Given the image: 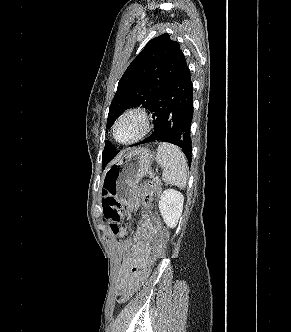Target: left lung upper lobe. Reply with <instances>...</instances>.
I'll return each instance as SVG.
<instances>
[{
    "instance_id": "1",
    "label": "left lung upper lobe",
    "mask_w": 291,
    "mask_h": 332,
    "mask_svg": "<svg viewBox=\"0 0 291 332\" xmlns=\"http://www.w3.org/2000/svg\"><path fill=\"white\" fill-rule=\"evenodd\" d=\"M183 53L177 41L169 34L150 40L131 62L121 77L116 94L109 107L107 128L126 110L136 106L151 109L156 97L174 74ZM115 147L106 142L102 167L116 155Z\"/></svg>"
}]
</instances>
